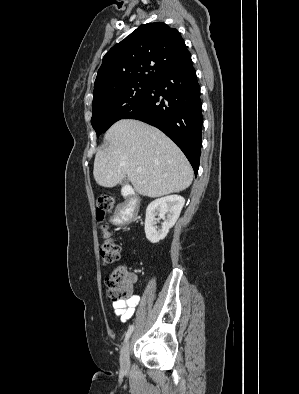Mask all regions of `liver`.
<instances>
[{"label": "liver", "instance_id": "liver-1", "mask_svg": "<svg viewBox=\"0 0 299 394\" xmlns=\"http://www.w3.org/2000/svg\"><path fill=\"white\" fill-rule=\"evenodd\" d=\"M109 146L98 151L93 175L103 187H114L125 177L136 192L151 198L188 188L192 167L177 145L159 129L134 119H122L105 134ZM140 167L141 172L136 168Z\"/></svg>", "mask_w": 299, "mask_h": 394}]
</instances>
